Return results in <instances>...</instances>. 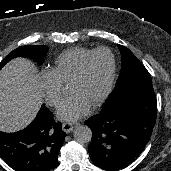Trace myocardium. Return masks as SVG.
I'll list each match as a JSON object with an SVG mask.
<instances>
[{
    "mask_svg": "<svg viewBox=\"0 0 171 171\" xmlns=\"http://www.w3.org/2000/svg\"><path fill=\"white\" fill-rule=\"evenodd\" d=\"M99 53H107L110 56L111 72H110V76H109V80H108L106 89L103 92V94L100 96V98L92 105L93 108H96V107L100 106L101 104H103L107 100V98L110 96V94L113 90L114 82H115V78H116V71H117V61H116L115 54L109 48H106V47H101V48H98V49L92 51L81 62V64L79 65V67L77 68V70L75 71V73L72 75L71 79L68 82V84H70L71 82L80 79L82 77V75L84 74L88 63L91 61V59L94 56H96Z\"/></svg>",
    "mask_w": 171,
    "mask_h": 171,
    "instance_id": "1",
    "label": "myocardium"
}]
</instances>
